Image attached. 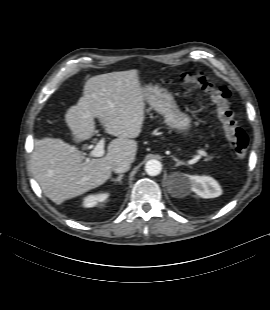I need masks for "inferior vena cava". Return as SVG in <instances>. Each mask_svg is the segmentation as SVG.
Wrapping results in <instances>:
<instances>
[{
	"label": "inferior vena cava",
	"instance_id": "obj_1",
	"mask_svg": "<svg viewBox=\"0 0 270 310\" xmlns=\"http://www.w3.org/2000/svg\"><path fill=\"white\" fill-rule=\"evenodd\" d=\"M131 163L127 160H117L113 166L112 170L115 173H124L127 172L130 169Z\"/></svg>",
	"mask_w": 270,
	"mask_h": 310
}]
</instances>
